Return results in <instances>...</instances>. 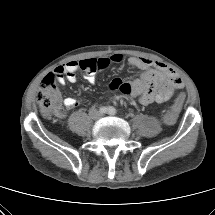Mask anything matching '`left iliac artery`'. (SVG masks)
I'll list each match as a JSON object with an SVG mask.
<instances>
[{
    "label": "left iliac artery",
    "mask_w": 215,
    "mask_h": 215,
    "mask_svg": "<svg viewBox=\"0 0 215 215\" xmlns=\"http://www.w3.org/2000/svg\"><path fill=\"white\" fill-rule=\"evenodd\" d=\"M108 113L110 115H115L117 113L116 109L114 107H109L108 108Z\"/></svg>",
    "instance_id": "left-iliac-artery-1"
}]
</instances>
